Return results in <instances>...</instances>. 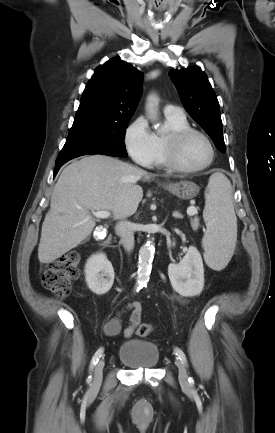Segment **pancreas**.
Returning <instances> with one entry per match:
<instances>
[{"label": "pancreas", "mask_w": 275, "mask_h": 433, "mask_svg": "<svg viewBox=\"0 0 275 433\" xmlns=\"http://www.w3.org/2000/svg\"><path fill=\"white\" fill-rule=\"evenodd\" d=\"M191 227L193 230H197V228H198V220L197 219L191 220Z\"/></svg>", "instance_id": "obj_1"}]
</instances>
